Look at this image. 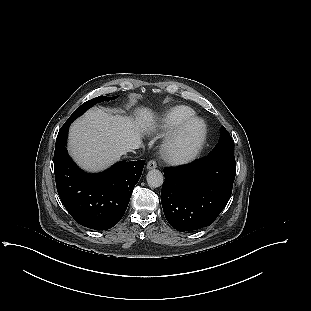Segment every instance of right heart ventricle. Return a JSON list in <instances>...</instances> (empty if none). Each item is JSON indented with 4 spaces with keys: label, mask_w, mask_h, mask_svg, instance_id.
<instances>
[{
    "label": "right heart ventricle",
    "mask_w": 311,
    "mask_h": 311,
    "mask_svg": "<svg viewBox=\"0 0 311 311\" xmlns=\"http://www.w3.org/2000/svg\"><path fill=\"white\" fill-rule=\"evenodd\" d=\"M195 111L185 105H177L170 108L159 121L154 129L157 136H164L174 130L185 120L193 117Z\"/></svg>",
    "instance_id": "right-heart-ventricle-1"
}]
</instances>
